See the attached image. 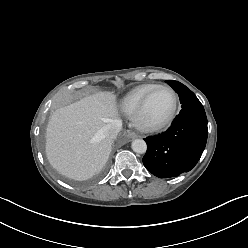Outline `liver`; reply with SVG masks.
I'll use <instances>...</instances> for the list:
<instances>
[{"mask_svg": "<svg viewBox=\"0 0 248 248\" xmlns=\"http://www.w3.org/2000/svg\"><path fill=\"white\" fill-rule=\"evenodd\" d=\"M118 116L116 97L100 92L57 109L46 129V155L62 175L86 180L105 166L112 148L103 128Z\"/></svg>", "mask_w": 248, "mask_h": 248, "instance_id": "liver-1", "label": "liver"}]
</instances>
